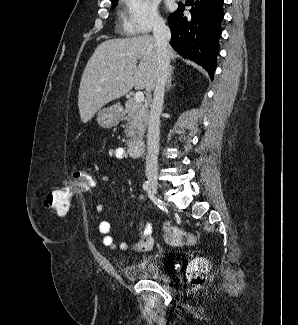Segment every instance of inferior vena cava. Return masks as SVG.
<instances>
[{
	"instance_id": "inferior-vena-cava-1",
	"label": "inferior vena cava",
	"mask_w": 298,
	"mask_h": 325,
	"mask_svg": "<svg viewBox=\"0 0 298 325\" xmlns=\"http://www.w3.org/2000/svg\"><path fill=\"white\" fill-rule=\"evenodd\" d=\"M153 36L157 46V80L154 88L153 100L150 108V116L147 132V156H146V177L147 179H157L158 177V154L160 138V114L164 102V90L169 74V52L168 42L171 38V30L163 20L155 18L153 22Z\"/></svg>"
}]
</instances>
